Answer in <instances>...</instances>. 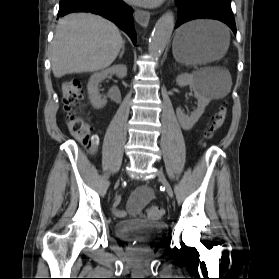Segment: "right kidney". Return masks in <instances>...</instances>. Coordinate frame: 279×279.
Returning a JSON list of instances; mask_svg holds the SVG:
<instances>
[{"mask_svg": "<svg viewBox=\"0 0 279 279\" xmlns=\"http://www.w3.org/2000/svg\"><path fill=\"white\" fill-rule=\"evenodd\" d=\"M109 74H115L119 78H124L127 75V67L122 64L114 65L99 73H95L90 77L87 84V90L90 103L95 109L103 108L107 103V100L100 95L98 86Z\"/></svg>", "mask_w": 279, "mask_h": 279, "instance_id": "1", "label": "right kidney"}]
</instances>
